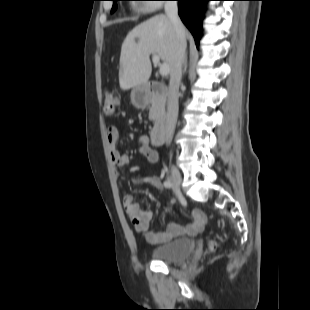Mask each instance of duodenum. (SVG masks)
Returning <instances> with one entry per match:
<instances>
[{
  "label": "duodenum",
  "instance_id": "1",
  "mask_svg": "<svg viewBox=\"0 0 310 310\" xmlns=\"http://www.w3.org/2000/svg\"><path fill=\"white\" fill-rule=\"evenodd\" d=\"M169 95L168 89L160 82L148 81L146 91L144 92V102L150 103L158 100L162 106ZM168 127V117L163 109L160 110L156 124L151 132V141L154 145H161L165 138L166 129Z\"/></svg>",
  "mask_w": 310,
  "mask_h": 310
}]
</instances>
